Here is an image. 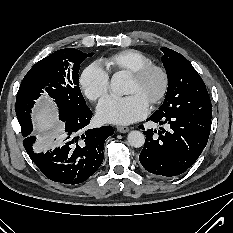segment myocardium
Segmentation results:
<instances>
[{"instance_id": "1", "label": "myocardium", "mask_w": 233, "mask_h": 233, "mask_svg": "<svg viewBox=\"0 0 233 233\" xmlns=\"http://www.w3.org/2000/svg\"><path fill=\"white\" fill-rule=\"evenodd\" d=\"M157 73L161 78V87L158 94L150 101V106H156L160 104L166 97L169 86H170V76L166 68L156 64H149L143 66L136 71L129 74L130 78L136 82H140L145 79L149 74Z\"/></svg>"}]
</instances>
